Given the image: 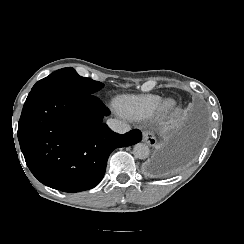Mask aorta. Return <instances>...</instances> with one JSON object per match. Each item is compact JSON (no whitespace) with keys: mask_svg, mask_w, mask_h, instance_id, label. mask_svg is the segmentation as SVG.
I'll return each mask as SVG.
<instances>
[{"mask_svg":"<svg viewBox=\"0 0 244 244\" xmlns=\"http://www.w3.org/2000/svg\"><path fill=\"white\" fill-rule=\"evenodd\" d=\"M133 154H134L135 158L146 159L150 154V150L146 144L137 143L134 145Z\"/></svg>","mask_w":244,"mask_h":244,"instance_id":"obj_1","label":"aorta"}]
</instances>
